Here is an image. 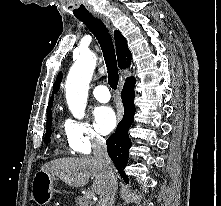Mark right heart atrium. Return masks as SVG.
<instances>
[{"label":"right heart atrium","mask_w":221,"mask_h":206,"mask_svg":"<svg viewBox=\"0 0 221 206\" xmlns=\"http://www.w3.org/2000/svg\"><path fill=\"white\" fill-rule=\"evenodd\" d=\"M69 124L70 147L74 151L88 154L94 147L104 142L103 137L88 121L71 119Z\"/></svg>","instance_id":"d8ad5b80"}]
</instances>
